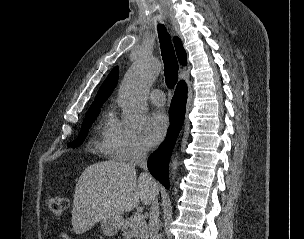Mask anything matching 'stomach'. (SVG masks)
<instances>
[{"instance_id": "obj_1", "label": "stomach", "mask_w": 304, "mask_h": 239, "mask_svg": "<svg viewBox=\"0 0 304 239\" xmlns=\"http://www.w3.org/2000/svg\"><path fill=\"white\" fill-rule=\"evenodd\" d=\"M122 225L121 217L105 218L101 222V231L105 236H114Z\"/></svg>"}]
</instances>
